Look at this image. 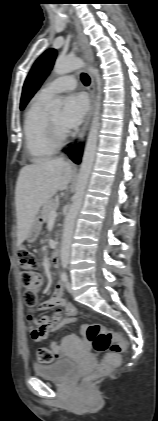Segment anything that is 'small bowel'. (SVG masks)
I'll use <instances>...</instances> for the list:
<instances>
[{
	"instance_id": "small-bowel-1",
	"label": "small bowel",
	"mask_w": 158,
	"mask_h": 421,
	"mask_svg": "<svg viewBox=\"0 0 158 421\" xmlns=\"http://www.w3.org/2000/svg\"><path fill=\"white\" fill-rule=\"evenodd\" d=\"M64 286L57 283L51 298L38 305L39 310H50L58 308L55 314L49 317L37 319L34 315L28 316V331L33 341L45 340L51 333L56 331L62 324L73 321L76 318L77 310L63 296ZM77 341L74 335H69L62 342H51V349L57 357H62L69 344Z\"/></svg>"
}]
</instances>
